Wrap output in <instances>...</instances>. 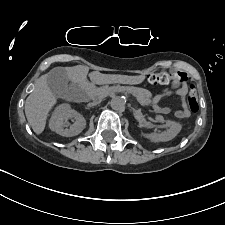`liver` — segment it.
I'll list each match as a JSON object with an SVG mask.
<instances>
[{"instance_id": "obj_1", "label": "liver", "mask_w": 225, "mask_h": 225, "mask_svg": "<svg viewBox=\"0 0 225 225\" xmlns=\"http://www.w3.org/2000/svg\"><path fill=\"white\" fill-rule=\"evenodd\" d=\"M68 80L76 85L86 83V77L89 71L87 66L77 65L73 67H65ZM90 80L94 84H111V83H136V81L128 80L125 76L107 75L99 72H91ZM56 97L51 92L47 84V74L37 79L33 92L25 101V114L28 123L36 134H41L46 126V120L49 111L56 104Z\"/></svg>"}]
</instances>
